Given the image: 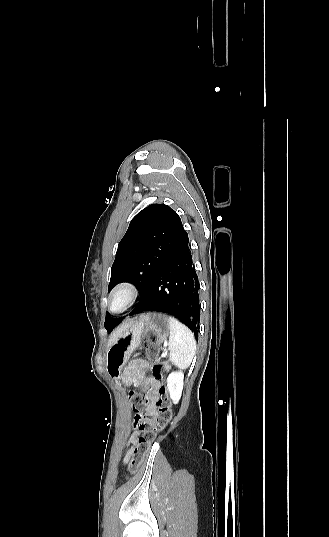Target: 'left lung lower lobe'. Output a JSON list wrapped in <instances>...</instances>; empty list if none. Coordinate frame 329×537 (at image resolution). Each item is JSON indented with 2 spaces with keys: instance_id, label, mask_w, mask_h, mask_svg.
<instances>
[{
  "instance_id": "1",
  "label": "left lung lower lobe",
  "mask_w": 329,
  "mask_h": 537,
  "mask_svg": "<svg viewBox=\"0 0 329 537\" xmlns=\"http://www.w3.org/2000/svg\"><path fill=\"white\" fill-rule=\"evenodd\" d=\"M200 284L192 261L189 238L160 267L130 315L148 311L177 317L198 337Z\"/></svg>"
}]
</instances>
